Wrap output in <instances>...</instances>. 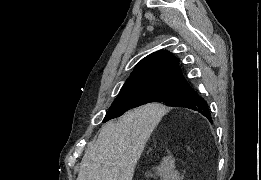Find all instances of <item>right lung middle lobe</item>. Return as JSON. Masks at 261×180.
Listing matches in <instances>:
<instances>
[{
	"mask_svg": "<svg viewBox=\"0 0 261 180\" xmlns=\"http://www.w3.org/2000/svg\"><path fill=\"white\" fill-rule=\"evenodd\" d=\"M196 93L186 81L157 82L122 88L110 106L103 122L121 116L127 110L151 102H162L168 106L191 97Z\"/></svg>",
	"mask_w": 261,
	"mask_h": 180,
	"instance_id": "right-lung-middle-lobe-1",
	"label": "right lung middle lobe"
}]
</instances>
